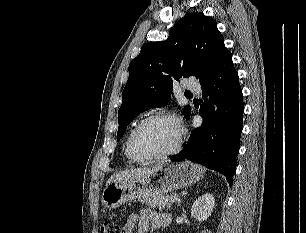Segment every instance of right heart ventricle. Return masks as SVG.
<instances>
[{
    "mask_svg": "<svg viewBox=\"0 0 306 233\" xmlns=\"http://www.w3.org/2000/svg\"><path fill=\"white\" fill-rule=\"evenodd\" d=\"M135 126H136V125H135ZM135 126H134V127H135ZM125 154H126L128 160H129L130 162H133V161H134V160L129 156V154H128V151H127V143H126V147H125Z\"/></svg>",
    "mask_w": 306,
    "mask_h": 233,
    "instance_id": "right-heart-ventricle-1",
    "label": "right heart ventricle"
}]
</instances>
